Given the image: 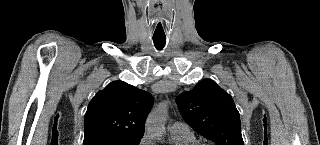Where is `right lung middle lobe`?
Segmentation results:
<instances>
[{
	"label": "right lung middle lobe",
	"instance_id": "right-lung-middle-lobe-1",
	"mask_svg": "<svg viewBox=\"0 0 320 145\" xmlns=\"http://www.w3.org/2000/svg\"><path fill=\"white\" fill-rule=\"evenodd\" d=\"M141 138L142 137H136V138L106 137V138L91 140L83 144L84 145H139Z\"/></svg>",
	"mask_w": 320,
	"mask_h": 145
}]
</instances>
